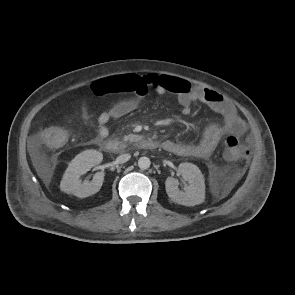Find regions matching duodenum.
<instances>
[{
    "label": "duodenum",
    "instance_id": "obj_1",
    "mask_svg": "<svg viewBox=\"0 0 295 295\" xmlns=\"http://www.w3.org/2000/svg\"><path fill=\"white\" fill-rule=\"evenodd\" d=\"M98 146L101 150L107 153H113L121 150L124 145L115 140H98ZM139 145L144 149H155L159 146L158 142L152 139H143L139 142Z\"/></svg>",
    "mask_w": 295,
    "mask_h": 295
}]
</instances>
